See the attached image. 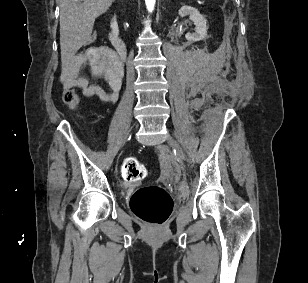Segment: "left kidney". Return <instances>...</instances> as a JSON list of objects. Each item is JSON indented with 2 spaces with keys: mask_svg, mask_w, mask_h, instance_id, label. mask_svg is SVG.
I'll list each match as a JSON object with an SVG mask.
<instances>
[{
  "mask_svg": "<svg viewBox=\"0 0 308 283\" xmlns=\"http://www.w3.org/2000/svg\"><path fill=\"white\" fill-rule=\"evenodd\" d=\"M180 16L189 15L190 19L195 24V33L186 34V39L188 41H200L204 39L207 35V26H206V19L199 13V11L191 6H183L179 10Z\"/></svg>",
  "mask_w": 308,
  "mask_h": 283,
  "instance_id": "obj_1",
  "label": "left kidney"
}]
</instances>
